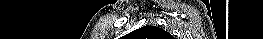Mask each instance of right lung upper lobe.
Returning a JSON list of instances; mask_svg holds the SVG:
<instances>
[{
    "instance_id": "obj_1",
    "label": "right lung upper lobe",
    "mask_w": 263,
    "mask_h": 39,
    "mask_svg": "<svg viewBox=\"0 0 263 39\" xmlns=\"http://www.w3.org/2000/svg\"><path fill=\"white\" fill-rule=\"evenodd\" d=\"M131 39H173L165 30L155 26L141 27L130 33Z\"/></svg>"
}]
</instances>
